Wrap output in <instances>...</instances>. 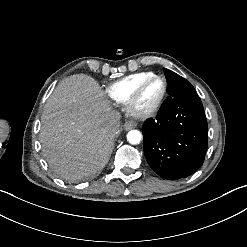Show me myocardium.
<instances>
[{
    "label": "myocardium",
    "mask_w": 247,
    "mask_h": 247,
    "mask_svg": "<svg viewBox=\"0 0 247 247\" xmlns=\"http://www.w3.org/2000/svg\"><path fill=\"white\" fill-rule=\"evenodd\" d=\"M151 80H160L163 82L164 84L163 94L160 97V99L152 107L148 109H141L138 107V101H139L141 90ZM168 92H169V86H168L167 79L164 76L158 75V74L150 75L144 78L143 80H141L134 87L132 93L130 94V96L127 98V100L124 103V109L129 115H131L132 117L136 119H141V120L148 119L154 116L160 110V108L162 107V105L164 104L167 98Z\"/></svg>",
    "instance_id": "f54148a6"
}]
</instances>
